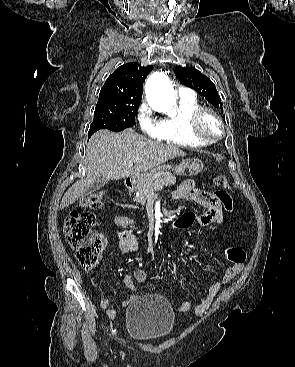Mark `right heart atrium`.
<instances>
[{"mask_svg":"<svg viewBox=\"0 0 295 367\" xmlns=\"http://www.w3.org/2000/svg\"><path fill=\"white\" fill-rule=\"evenodd\" d=\"M137 120L144 133L152 138H158L161 134V121L154 117L151 107L147 103L140 105L137 111Z\"/></svg>","mask_w":295,"mask_h":367,"instance_id":"d8ad5b80","label":"right heart atrium"}]
</instances>
